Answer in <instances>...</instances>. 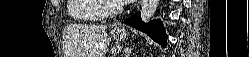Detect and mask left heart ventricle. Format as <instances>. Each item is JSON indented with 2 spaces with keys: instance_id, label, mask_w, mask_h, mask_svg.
Wrapping results in <instances>:
<instances>
[{
  "instance_id": "left-heart-ventricle-1",
  "label": "left heart ventricle",
  "mask_w": 249,
  "mask_h": 57,
  "mask_svg": "<svg viewBox=\"0 0 249 57\" xmlns=\"http://www.w3.org/2000/svg\"><path fill=\"white\" fill-rule=\"evenodd\" d=\"M109 4H110L111 7H113V6L117 5L118 2L115 1V0H109Z\"/></svg>"
}]
</instances>
